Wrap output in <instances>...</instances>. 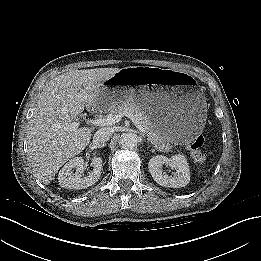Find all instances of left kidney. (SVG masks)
<instances>
[{
	"label": "left kidney",
	"instance_id": "obj_1",
	"mask_svg": "<svg viewBox=\"0 0 261 261\" xmlns=\"http://www.w3.org/2000/svg\"><path fill=\"white\" fill-rule=\"evenodd\" d=\"M163 165L175 169L176 173L168 175L163 170ZM148 168L152 178L161 186L180 188L185 187L190 181V169L184 155L178 154L171 158L157 155L150 159Z\"/></svg>",
	"mask_w": 261,
	"mask_h": 261
}]
</instances>
